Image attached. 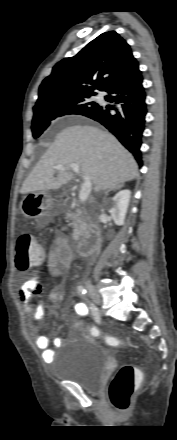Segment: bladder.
Listing matches in <instances>:
<instances>
[{"instance_id":"1","label":"bladder","mask_w":177,"mask_h":440,"mask_svg":"<svg viewBox=\"0 0 177 440\" xmlns=\"http://www.w3.org/2000/svg\"><path fill=\"white\" fill-rule=\"evenodd\" d=\"M67 354L55 361L53 375L76 383L87 391H98L108 367L107 351L94 339L64 345Z\"/></svg>"}]
</instances>
